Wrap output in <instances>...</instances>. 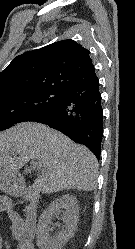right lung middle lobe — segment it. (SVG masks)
<instances>
[{"label": "right lung middle lobe", "instance_id": "right-lung-middle-lobe-1", "mask_svg": "<svg viewBox=\"0 0 135 249\" xmlns=\"http://www.w3.org/2000/svg\"><path fill=\"white\" fill-rule=\"evenodd\" d=\"M62 92L34 91L0 97V131L30 117L56 102Z\"/></svg>", "mask_w": 135, "mask_h": 249}]
</instances>
